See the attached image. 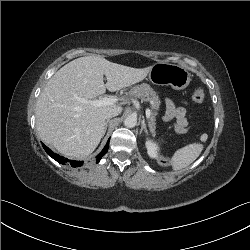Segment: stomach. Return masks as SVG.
Segmentation results:
<instances>
[{"mask_svg":"<svg viewBox=\"0 0 250 250\" xmlns=\"http://www.w3.org/2000/svg\"><path fill=\"white\" fill-rule=\"evenodd\" d=\"M149 80L155 84L169 85L175 90H183L189 85L191 75L183 66L161 62L152 66Z\"/></svg>","mask_w":250,"mask_h":250,"instance_id":"stomach-1","label":"stomach"}]
</instances>
